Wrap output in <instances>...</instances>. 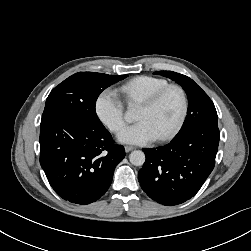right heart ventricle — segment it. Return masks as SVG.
I'll use <instances>...</instances> for the list:
<instances>
[{
    "instance_id": "e07e8e85",
    "label": "right heart ventricle",
    "mask_w": 251,
    "mask_h": 251,
    "mask_svg": "<svg viewBox=\"0 0 251 251\" xmlns=\"http://www.w3.org/2000/svg\"><path fill=\"white\" fill-rule=\"evenodd\" d=\"M168 84L164 78L142 75L123 83L119 87V91L128 105L140 104Z\"/></svg>"
}]
</instances>
